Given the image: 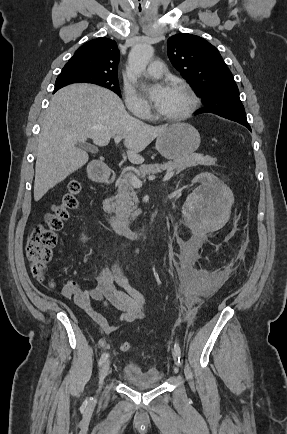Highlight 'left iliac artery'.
<instances>
[{
  "label": "left iliac artery",
  "mask_w": 287,
  "mask_h": 434,
  "mask_svg": "<svg viewBox=\"0 0 287 434\" xmlns=\"http://www.w3.org/2000/svg\"><path fill=\"white\" fill-rule=\"evenodd\" d=\"M174 350L176 351L178 361L180 362V358H181V349H180V346H179L178 342H175V344H174Z\"/></svg>",
  "instance_id": "44dca946"
}]
</instances>
